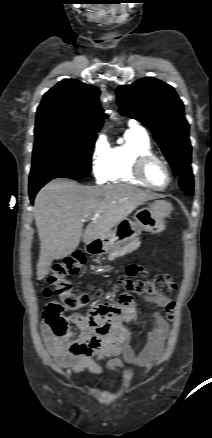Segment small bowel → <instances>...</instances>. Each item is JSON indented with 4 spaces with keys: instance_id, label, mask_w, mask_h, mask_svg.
<instances>
[{
    "instance_id": "1",
    "label": "small bowel",
    "mask_w": 212,
    "mask_h": 438,
    "mask_svg": "<svg viewBox=\"0 0 212 438\" xmlns=\"http://www.w3.org/2000/svg\"><path fill=\"white\" fill-rule=\"evenodd\" d=\"M142 267L131 265L127 273L135 276L142 272ZM155 307L149 313L152 330L147 337L144 349L136 355L129 345V326L137 321V310L133 298L122 295L116 304H101L93 307L91 311L82 315L70 314L67 320L79 327V335L59 336L44 320L42 334L49 352L55 357L59 365L69 368L76 373L90 372L101 374L104 370H119L125 367L119 358L136 367H144L160 356L164 341L169 332V323L162 316L171 321L174 317L175 302L167 297H144ZM95 357V360L93 359ZM110 358L105 364L100 361Z\"/></svg>"
}]
</instances>
